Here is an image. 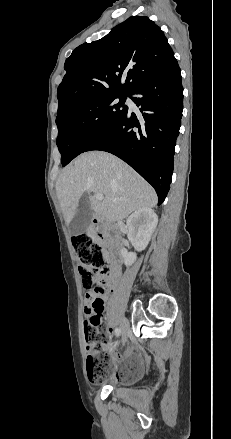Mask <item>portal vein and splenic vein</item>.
Here are the masks:
<instances>
[{"mask_svg": "<svg viewBox=\"0 0 231 439\" xmlns=\"http://www.w3.org/2000/svg\"><path fill=\"white\" fill-rule=\"evenodd\" d=\"M95 198H96L97 200H103V199H104V195L101 194V193H97V194L95 195Z\"/></svg>", "mask_w": 231, "mask_h": 439, "instance_id": "18ae733b", "label": "portal vein and splenic vein"}]
</instances>
